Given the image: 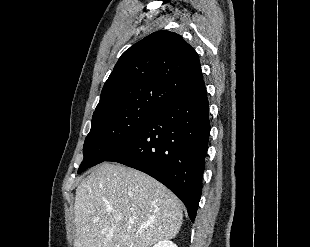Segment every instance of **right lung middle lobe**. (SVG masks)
I'll use <instances>...</instances> for the list:
<instances>
[{"label": "right lung middle lobe", "instance_id": "dd1d6c3e", "mask_svg": "<svg viewBox=\"0 0 310 247\" xmlns=\"http://www.w3.org/2000/svg\"><path fill=\"white\" fill-rule=\"evenodd\" d=\"M158 110L133 107L93 117L91 130L84 142V159L78 174L122 149Z\"/></svg>", "mask_w": 310, "mask_h": 247}]
</instances>
